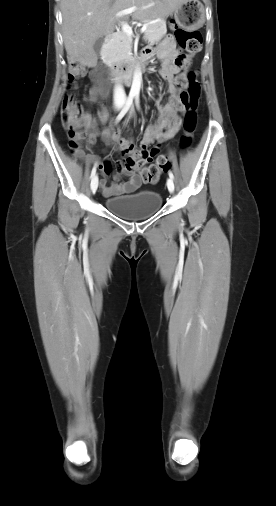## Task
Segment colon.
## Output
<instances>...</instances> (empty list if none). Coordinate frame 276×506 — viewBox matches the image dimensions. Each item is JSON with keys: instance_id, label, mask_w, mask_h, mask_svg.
I'll use <instances>...</instances> for the list:
<instances>
[{"instance_id": "colon-1", "label": "colon", "mask_w": 276, "mask_h": 506, "mask_svg": "<svg viewBox=\"0 0 276 506\" xmlns=\"http://www.w3.org/2000/svg\"><path fill=\"white\" fill-rule=\"evenodd\" d=\"M170 28L175 32L179 45L186 51V54L179 59L183 72L175 79V85L179 92L171 99L174 107L182 108L185 111L183 122L184 134L180 139V148L185 150L192 144V135L197 126L196 111L201 94L196 73L189 72V65L191 57L201 49L202 36L198 31L186 32L180 29L175 20L170 22ZM82 74L83 69L78 64H70L69 77L71 81ZM98 77L103 79L102 71H98ZM86 115L77 97L73 93H68L62 103L61 117L63 127L69 138V150L73 156L80 154L85 141L92 142V138H87L84 132V128L88 125ZM169 121L171 123L179 122L174 113L170 114ZM110 140L114 139L110 137ZM120 148L126 156L124 162L125 168L138 172L144 183L156 184L168 168L169 162L164 156H159L154 163L147 165L148 157L157 153L158 141H153L145 148L135 149L133 143L126 139L120 142Z\"/></svg>"}]
</instances>
